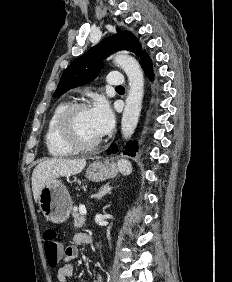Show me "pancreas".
Here are the masks:
<instances>
[{
  "label": "pancreas",
  "instance_id": "cf45deb5",
  "mask_svg": "<svg viewBox=\"0 0 232 282\" xmlns=\"http://www.w3.org/2000/svg\"><path fill=\"white\" fill-rule=\"evenodd\" d=\"M72 216L74 218L75 228H81L85 224V218L81 214L73 212Z\"/></svg>",
  "mask_w": 232,
  "mask_h": 282
}]
</instances>
